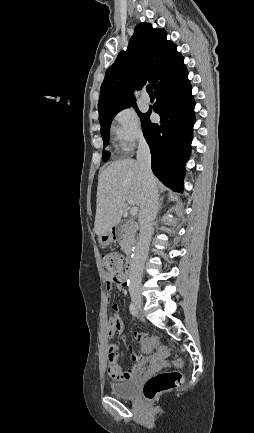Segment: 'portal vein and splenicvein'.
Listing matches in <instances>:
<instances>
[{"instance_id":"1","label":"portal vein and splenic vein","mask_w":254,"mask_h":433,"mask_svg":"<svg viewBox=\"0 0 254 433\" xmlns=\"http://www.w3.org/2000/svg\"><path fill=\"white\" fill-rule=\"evenodd\" d=\"M128 204L132 205V208L130 209V214L131 215H137L138 214V207L134 206V202L132 200H127Z\"/></svg>"}]
</instances>
